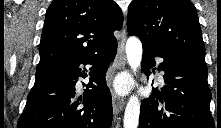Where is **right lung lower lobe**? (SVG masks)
<instances>
[{"instance_id":"98d812e1","label":"right lung lower lobe","mask_w":221,"mask_h":128,"mask_svg":"<svg viewBox=\"0 0 221 128\" xmlns=\"http://www.w3.org/2000/svg\"><path fill=\"white\" fill-rule=\"evenodd\" d=\"M117 41L89 56H75L37 71L18 128H110L113 110L105 74ZM90 65V71L80 65ZM90 76L82 96L75 85Z\"/></svg>"}]
</instances>
